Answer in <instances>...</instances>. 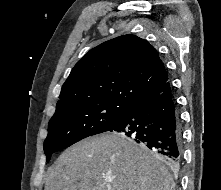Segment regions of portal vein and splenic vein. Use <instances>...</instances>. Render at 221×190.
<instances>
[{
  "mask_svg": "<svg viewBox=\"0 0 221 190\" xmlns=\"http://www.w3.org/2000/svg\"><path fill=\"white\" fill-rule=\"evenodd\" d=\"M106 180H107L108 182H111V181H112V179H111V178H107Z\"/></svg>",
  "mask_w": 221,
  "mask_h": 190,
  "instance_id": "obj_1",
  "label": "portal vein and splenic vein"
}]
</instances>
